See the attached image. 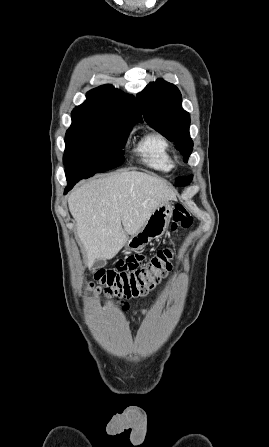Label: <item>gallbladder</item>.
I'll return each mask as SVG.
<instances>
[{
    "instance_id": "1",
    "label": "gallbladder",
    "mask_w": 269,
    "mask_h": 447,
    "mask_svg": "<svg viewBox=\"0 0 269 447\" xmlns=\"http://www.w3.org/2000/svg\"><path fill=\"white\" fill-rule=\"evenodd\" d=\"M104 265H106L105 259H98V261L93 263V267H104Z\"/></svg>"
}]
</instances>
